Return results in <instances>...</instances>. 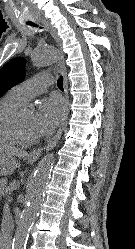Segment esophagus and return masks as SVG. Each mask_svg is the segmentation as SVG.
<instances>
[{
  "label": "esophagus",
  "mask_w": 135,
  "mask_h": 249,
  "mask_svg": "<svg viewBox=\"0 0 135 249\" xmlns=\"http://www.w3.org/2000/svg\"><path fill=\"white\" fill-rule=\"evenodd\" d=\"M42 23L51 31V34L54 37V39L57 43V46L61 52V59L59 60V62L57 64V68L60 71V73L62 74L63 80H64V93H65V97H66V110H65V114H64L61 126L58 129L57 133L54 135V137L47 143V145L43 149L32 150L28 155V157L31 159H38L41 156L43 151H49L56 146V144L58 143V140L60 139V137L62 135V132H63L64 127H65L66 122H67L68 114H69L68 79H67L66 68L64 65L63 55H62V51H61L62 42H61V39L59 38V36L57 35V32L49 25L48 22L42 21Z\"/></svg>",
  "instance_id": "1"
}]
</instances>
